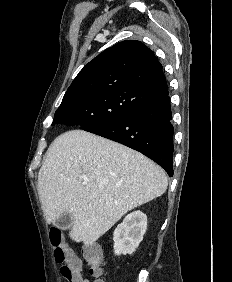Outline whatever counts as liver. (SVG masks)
Returning a JSON list of instances; mask_svg holds the SVG:
<instances>
[{
  "label": "liver",
  "mask_w": 232,
  "mask_h": 282,
  "mask_svg": "<svg viewBox=\"0 0 232 282\" xmlns=\"http://www.w3.org/2000/svg\"><path fill=\"white\" fill-rule=\"evenodd\" d=\"M165 171L143 154L84 130L59 135L38 174L45 219L72 214L69 236L92 245L131 209L163 195Z\"/></svg>",
  "instance_id": "liver-1"
}]
</instances>
